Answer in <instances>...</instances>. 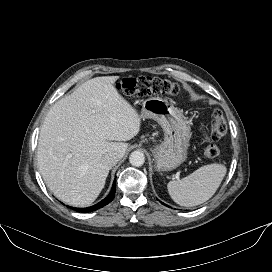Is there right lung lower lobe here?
<instances>
[{
    "instance_id": "right-lung-lower-lobe-1",
    "label": "right lung lower lobe",
    "mask_w": 272,
    "mask_h": 272,
    "mask_svg": "<svg viewBox=\"0 0 272 272\" xmlns=\"http://www.w3.org/2000/svg\"><path fill=\"white\" fill-rule=\"evenodd\" d=\"M115 192H116V180H114L111 192L109 193V195L105 199H103L102 201H100L99 203H97L91 207L73 208V209L77 212H90V211H94L99 208H102L103 206L107 205L108 203H110L114 199Z\"/></svg>"
}]
</instances>
